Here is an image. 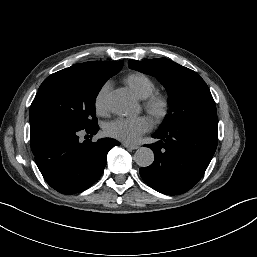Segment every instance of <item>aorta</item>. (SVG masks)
<instances>
[{
    "label": "aorta",
    "mask_w": 257,
    "mask_h": 257,
    "mask_svg": "<svg viewBox=\"0 0 257 257\" xmlns=\"http://www.w3.org/2000/svg\"><path fill=\"white\" fill-rule=\"evenodd\" d=\"M108 108L118 115H133L138 106L132 94L124 88L115 89L106 97ZM134 160L140 167H148L154 161V153L150 148L140 147L134 154Z\"/></svg>",
    "instance_id": "762f6f07"
}]
</instances>
